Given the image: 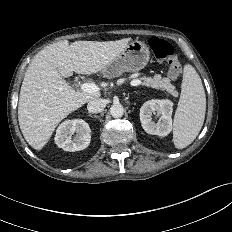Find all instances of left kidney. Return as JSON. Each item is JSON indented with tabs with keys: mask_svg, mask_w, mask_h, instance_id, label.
<instances>
[{
	"mask_svg": "<svg viewBox=\"0 0 232 232\" xmlns=\"http://www.w3.org/2000/svg\"><path fill=\"white\" fill-rule=\"evenodd\" d=\"M161 115L158 123L152 121V114ZM173 102L167 99H152L140 108V121L148 134L167 136L172 130Z\"/></svg>",
	"mask_w": 232,
	"mask_h": 232,
	"instance_id": "left-kidney-1",
	"label": "left kidney"
}]
</instances>
